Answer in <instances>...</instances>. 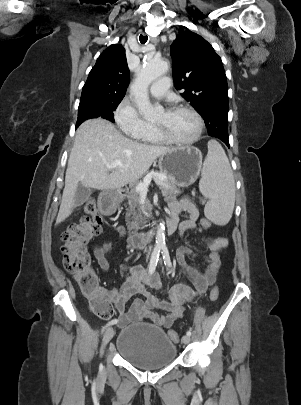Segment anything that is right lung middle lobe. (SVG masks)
Here are the masks:
<instances>
[{
	"mask_svg": "<svg viewBox=\"0 0 301 405\" xmlns=\"http://www.w3.org/2000/svg\"><path fill=\"white\" fill-rule=\"evenodd\" d=\"M122 99L123 96L90 95L81 97L76 127L87 119L97 117L114 122L113 111L117 108Z\"/></svg>",
	"mask_w": 301,
	"mask_h": 405,
	"instance_id": "obj_1",
	"label": "right lung middle lobe"
}]
</instances>
